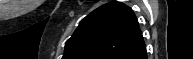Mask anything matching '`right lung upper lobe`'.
<instances>
[{
    "label": "right lung upper lobe",
    "mask_w": 193,
    "mask_h": 59,
    "mask_svg": "<svg viewBox=\"0 0 193 59\" xmlns=\"http://www.w3.org/2000/svg\"><path fill=\"white\" fill-rule=\"evenodd\" d=\"M144 46L132 9L110 2L80 22L65 44L62 59H128Z\"/></svg>",
    "instance_id": "obj_1"
}]
</instances>
